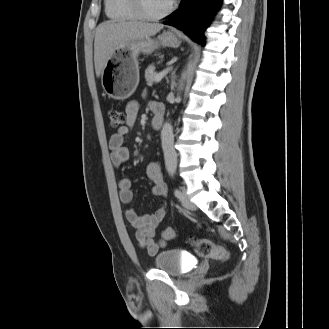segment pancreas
<instances>
[{"instance_id":"obj_1","label":"pancreas","mask_w":329,"mask_h":329,"mask_svg":"<svg viewBox=\"0 0 329 329\" xmlns=\"http://www.w3.org/2000/svg\"><path fill=\"white\" fill-rule=\"evenodd\" d=\"M157 73L155 72V67L154 65H149L147 69L145 70V79L147 82V85H152L153 82L155 81V76Z\"/></svg>"}]
</instances>
